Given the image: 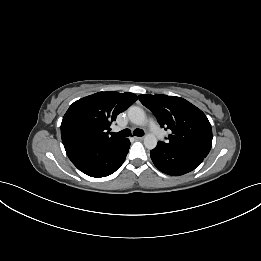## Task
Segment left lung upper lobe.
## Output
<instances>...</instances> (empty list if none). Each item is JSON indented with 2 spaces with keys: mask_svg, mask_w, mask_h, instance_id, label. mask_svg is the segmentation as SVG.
Masks as SVG:
<instances>
[{
  "mask_svg": "<svg viewBox=\"0 0 261 261\" xmlns=\"http://www.w3.org/2000/svg\"><path fill=\"white\" fill-rule=\"evenodd\" d=\"M139 100L153 112L162 128L171 130L169 141L159 144L203 157L208 155L212 146V129L199 108L176 96L142 94Z\"/></svg>",
  "mask_w": 261,
  "mask_h": 261,
  "instance_id": "5c2ea615",
  "label": "left lung upper lobe"
}]
</instances>
